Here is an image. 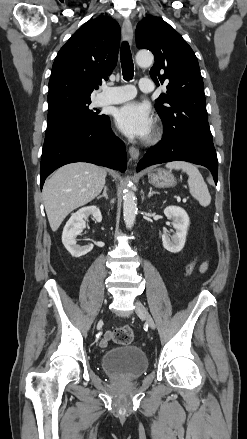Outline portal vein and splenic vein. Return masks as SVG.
<instances>
[{"instance_id":"18ae733b","label":"portal vein and splenic vein","mask_w":247,"mask_h":439,"mask_svg":"<svg viewBox=\"0 0 247 439\" xmlns=\"http://www.w3.org/2000/svg\"><path fill=\"white\" fill-rule=\"evenodd\" d=\"M183 202H186V199H185V198L183 199Z\"/></svg>"}]
</instances>
